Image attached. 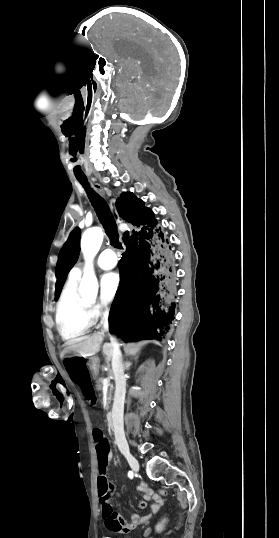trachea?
<instances>
[{"label": "trachea", "mask_w": 279, "mask_h": 538, "mask_svg": "<svg viewBox=\"0 0 279 538\" xmlns=\"http://www.w3.org/2000/svg\"><path fill=\"white\" fill-rule=\"evenodd\" d=\"M76 178L87 192L97 217L110 239L111 245L115 248H122V244L119 242V234L116 229L113 215L106 201L90 187L85 176H77Z\"/></svg>", "instance_id": "trachea-1"}]
</instances>
